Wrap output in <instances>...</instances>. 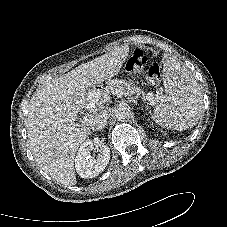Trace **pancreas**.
I'll list each match as a JSON object with an SVG mask.
<instances>
[{"label": "pancreas", "instance_id": "pancreas-1", "mask_svg": "<svg viewBox=\"0 0 227 227\" xmlns=\"http://www.w3.org/2000/svg\"><path fill=\"white\" fill-rule=\"evenodd\" d=\"M115 91H119L124 96H131L134 95L138 97L141 94L140 88L136 87L133 83L127 82L125 80H111L108 86L104 90V94L112 93L114 94ZM96 99L100 98V92H90Z\"/></svg>", "mask_w": 227, "mask_h": 227}]
</instances>
